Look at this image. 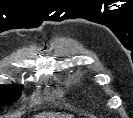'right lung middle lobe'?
Returning a JSON list of instances; mask_svg holds the SVG:
<instances>
[{
  "label": "right lung middle lobe",
  "mask_w": 133,
  "mask_h": 118,
  "mask_svg": "<svg viewBox=\"0 0 133 118\" xmlns=\"http://www.w3.org/2000/svg\"><path fill=\"white\" fill-rule=\"evenodd\" d=\"M21 88L17 85H0V110L9 106L20 97Z\"/></svg>",
  "instance_id": "1"
}]
</instances>
